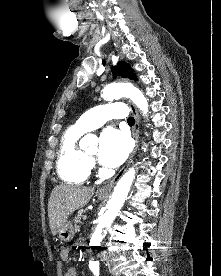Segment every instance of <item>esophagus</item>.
Listing matches in <instances>:
<instances>
[{
  "label": "esophagus",
  "mask_w": 221,
  "mask_h": 276,
  "mask_svg": "<svg viewBox=\"0 0 221 276\" xmlns=\"http://www.w3.org/2000/svg\"><path fill=\"white\" fill-rule=\"evenodd\" d=\"M129 106H130L131 112L133 113L134 118H135V125H134V129H133V136H134V139H135V147H134L132 153L130 154L126 164L124 165V167L120 170V172L108 184H106V185H104V186H102L98 189L99 193L107 194L111 191L114 184L120 179V177L126 171L128 166L131 164L132 159H133V157H134V155H135V153L138 149V146H139L140 117H139V113H138L136 107L131 102H129Z\"/></svg>",
  "instance_id": "34e87169"
}]
</instances>
